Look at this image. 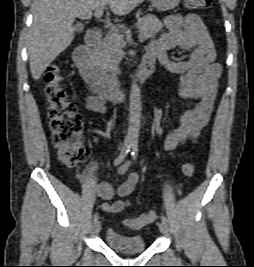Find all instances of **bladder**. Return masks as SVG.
I'll return each mask as SVG.
<instances>
[{
    "instance_id": "1",
    "label": "bladder",
    "mask_w": 254,
    "mask_h": 267,
    "mask_svg": "<svg viewBox=\"0 0 254 267\" xmlns=\"http://www.w3.org/2000/svg\"><path fill=\"white\" fill-rule=\"evenodd\" d=\"M105 241L111 248L125 253H137L146 248V241L141 234H128L115 228L106 231Z\"/></svg>"
}]
</instances>
